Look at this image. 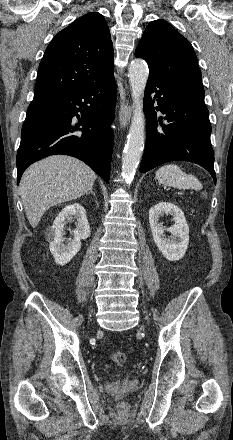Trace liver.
<instances>
[{"mask_svg":"<svg viewBox=\"0 0 233 440\" xmlns=\"http://www.w3.org/2000/svg\"><path fill=\"white\" fill-rule=\"evenodd\" d=\"M95 172L79 159L54 155L32 164L20 181V195L30 225L35 228L51 207L92 189Z\"/></svg>","mask_w":233,"mask_h":440,"instance_id":"obj_1","label":"liver"}]
</instances>
